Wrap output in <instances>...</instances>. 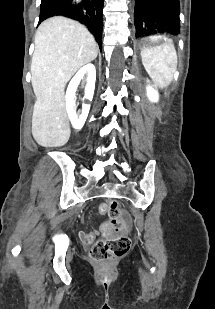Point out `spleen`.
<instances>
[{
  "label": "spleen",
  "instance_id": "obj_1",
  "mask_svg": "<svg viewBox=\"0 0 215 309\" xmlns=\"http://www.w3.org/2000/svg\"><path fill=\"white\" fill-rule=\"evenodd\" d=\"M141 58L157 86L163 88L170 84L177 66V52L172 40L159 46H143Z\"/></svg>",
  "mask_w": 215,
  "mask_h": 309
}]
</instances>
